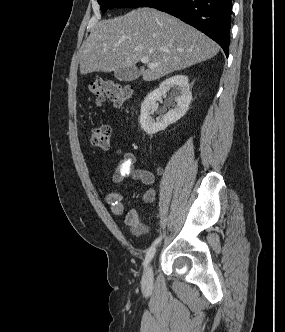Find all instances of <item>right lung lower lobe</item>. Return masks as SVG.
<instances>
[{"label":"right lung lower lobe","mask_w":285,"mask_h":332,"mask_svg":"<svg viewBox=\"0 0 285 332\" xmlns=\"http://www.w3.org/2000/svg\"><path fill=\"white\" fill-rule=\"evenodd\" d=\"M143 6L169 13L216 41L228 57L231 0H149Z\"/></svg>","instance_id":"1"}]
</instances>
